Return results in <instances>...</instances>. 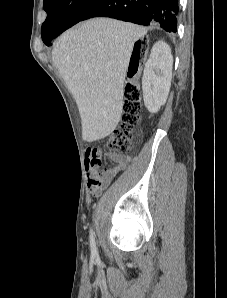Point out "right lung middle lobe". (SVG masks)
I'll return each instance as SVG.
<instances>
[{
  "label": "right lung middle lobe",
  "mask_w": 227,
  "mask_h": 298,
  "mask_svg": "<svg viewBox=\"0 0 227 298\" xmlns=\"http://www.w3.org/2000/svg\"><path fill=\"white\" fill-rule=\"evenodd\" d=\"M100 0H44L43 8L47 18L42 25V39L50 42L57 31H65L75 25Z\"/></svg>",
  "instance_id": "obj_1"
}]
</instances>
